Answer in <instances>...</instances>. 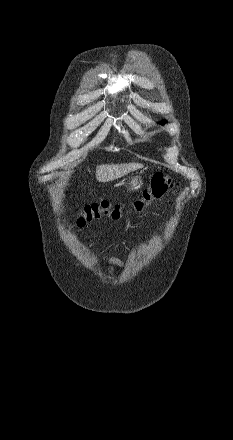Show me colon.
I'll return each instance as SVG.
<instances>
[{
  "mask_svg": "<svg viewBox=\"0 0 233 440\" xmlns=\"http://www.w3.org/2000/svg\"><path fill=\"white\" fill-rule=\"evenodd\" d=\"M178 186L171 177L162 172H156L151 178L150 186L142 192L141 198L133 204L131 209L134 213H141L155 199L161 198L168 190ZM102 215H108L113 219H119L122 215L120 205H112L103 200L91 204H86L77 210L78 226H83L87 222L100 218Z\"/></svg>",
  "mask_w": 233,
  "mask_h": 440,
  "instance_id": "obj_1",
  "label": "colon"
}]
</instances>
